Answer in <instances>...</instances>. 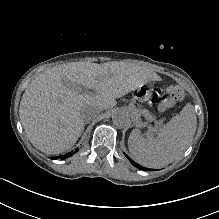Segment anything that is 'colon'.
<instances>
[{
  "label": "colon",
  "instance_id": "obj_1",
  "mask_svg": "<svg viewBox=\"0 0 219 219\" xmlns=\"http://www.w3.org/2000/svg\"><path fill=\"white\" fill-rule=\"evenodd\" d=\"M185 91L180 85L169 86L160 95L159 108L162 111L168 110L174 106V104L184 99Z\"/></svg>",
  "mask_w": 219,
  "mask_h": 219
}]
</instances>
